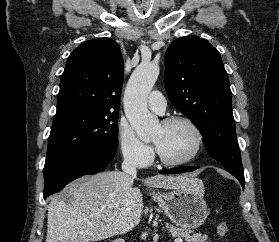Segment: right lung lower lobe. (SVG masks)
I'll use <instances>...</instances> for the list:
<instances>
[{
    "label": "right lung lower lobe",
    "instance_id": "right-lung-lower-lobe-1",
    "mask_svg": "<svg viewBox=\"0 0 279 242\" xmlns=\"http://www.w3.org/2000/svg\"><path fill=\"white\" fill-rule=\"evenodd\" d=\"M117 151V150H116ZM115 150H87L65 156L44 166V199L86 174L104 171Z\"/></svg>",
    "mask_w": 279,
    "mask_h": 242
}]
</instances>
